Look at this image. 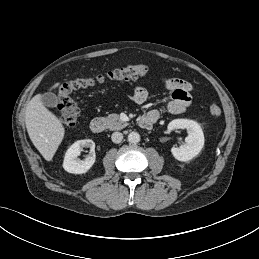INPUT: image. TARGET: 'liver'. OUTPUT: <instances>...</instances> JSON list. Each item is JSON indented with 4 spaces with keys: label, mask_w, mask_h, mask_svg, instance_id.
<instances>
[{
    "label": "liver",
    "mask_w": 259,
    "mask_h": 259,
    "mask_svg": "<svg viewBox=\"0 0 259 259\" xmlns=\"http://www.w3.org/2000/svg\"><path fill=\"white\" fill-rule=\"evenodd\" d=\"M59 83L52 86L57 88ZM25 124L28 135L45 160L51 161L61 144L65 129L61 121L41 101V94L35 95L27 104Z\"/></svg>",
    "instance_id": "1"
}]
</instances>
